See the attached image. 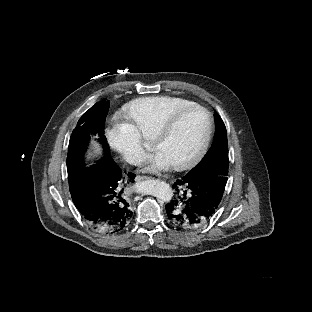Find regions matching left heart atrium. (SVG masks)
Masks as SVG:
<instances>
[{
	"mask_svg": "<svg viewBox=\"0 0 312 312\" xmlns=\"http://www.w3.org/2000/svg\"><path fill=\"white\" fill-rule=\"evenodd\" d=\"M171 167V156L168 153L159 154L152 162L139 163L136 166V173L139 176L166 174Z\"/></svg>",
	"mask_w": 312,
	"mask_h": 312,
	"instance_id": "39dd6f15",
	"label": "left heart atrium"
}]
</instances>
